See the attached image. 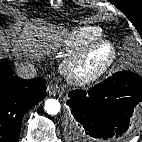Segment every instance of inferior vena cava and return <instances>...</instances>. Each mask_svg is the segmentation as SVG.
I'll list each match as a JSON object with an SVG mask.
<instances>
[{"mask_svg": "<svg viewBox=\"0 0 142 142\" xmlns=\"http://www.w3.org/2000/svg\"><path fill=\"white\" fill-rule=\"evenodd\" d=\"M17 75L22 79H32L37 74L35 65L31 62H22L16 67Z\"/></svg>", "mask_w": 142, "mask_h": 142, "instance_id": "602c4592", "label": "inferior vena cava"}]
</instances>
